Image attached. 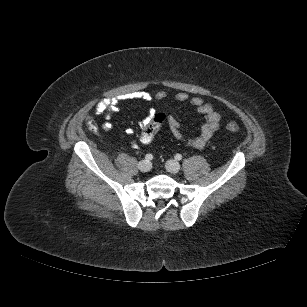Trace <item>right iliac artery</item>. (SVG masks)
<instances>
[{
	"label": "right iliac artery",
	"mask_w": 307,
	"mask_h": 307,
	"mask_svg": "<svg viewBox=\"0 0 307 307\" xmlns=\"http://www.w3.org/2000/svg\"><path fill=\"white\" fill-rule=\"evenodd\" d=\"M145 159H146V161H151L153 159V155L152 154H146Z\"/></svg>",
	"instance_id": "obj_1"
}]
</instances>
